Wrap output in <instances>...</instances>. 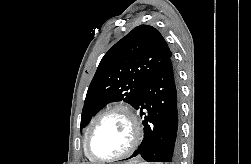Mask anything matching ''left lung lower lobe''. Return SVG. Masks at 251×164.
<instances>
[{
    "mask_svg": "<svg viewBox=\"0 0 251 164\" xmlns=\"http://www.w3.org/2000/svg\"><path fill=\"white\" fill-rule=\"evenodd\" d=\"M179 97L177 74L170 59L147 81L135 107L145 115L144 139L130 158L140 155L147 162L177 163Z\"/></svg>",
    "mask_w": 251,
    "mask_h": 164,
    "instance_id": "obj_1",
    "label": "left lung lower lobe"
}]
</instances>
